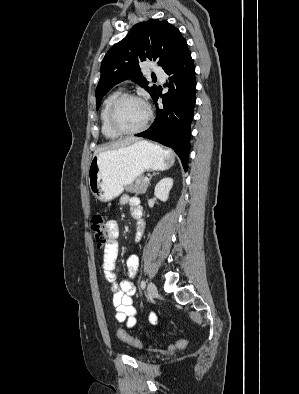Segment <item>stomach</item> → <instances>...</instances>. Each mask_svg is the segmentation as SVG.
Returning <instances> with one entry per match:
<instances>
[{"label":"stomach","mask_w":299,"mask_h":394,"mask_svg":"<svg viewBox=\"0 0 299 394\" xmlns=\"http://www.w3.org/2000/svg\"><path fill=\"white\" fill-rule=\"evenodd\" d=\"M171 151L148 141L98 153L90 162L87 179L91 193L102 202L119 196L147 170H166L174 164Z\"/></svg>","instance_id":"obj_1"}]
</instances>
